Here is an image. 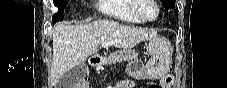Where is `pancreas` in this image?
Segmentation results:
<instances>
[{
    "mask_svg": "<svg viewBox=\"0 0 227 88\" xmlns=\"http://www.w3.org/2000/svg\"><path fill=\"white\" fill-rule=\"evenodd\" d=\"M138 53L132 49H123L114 52L113 54L109 55L104 59L103 65H109L112 63H116L121 60H137Z\"/></svg>",
    "mask_w": 227,
    "mask_h": 88,
    "instance_id": "obj_1",
    "label": "pancreas"
}]
</instances>
